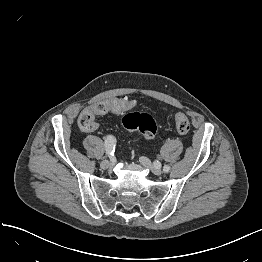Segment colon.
Wrapping results in <instances>:
<instances>
[{
    "mask_svg": "<svg viewBox=\"0 0 262 262\" xmlns=\"http://www.w3.org/2000/svg\"><path fill=\"white\" fill-rule=\"evenodd\" d=\"M134 106V101H129L122 98L98 102L80 114V128L84 131H91L95 129L98 125L95 120V116L97 114L105 112H112L116 114L126 113L122 119L123 127L130 131H139L147 140H152L157 133V127L154 119L146 113L129 112ZM175 122L176 129L179 134L185 135L188 133L190 129V123L184 113H177L175 115Z\"/></svg>",
    "mask_w": 262,
    "mask_h": 262,
    "instance_id": "1",
    "label": "colon"
}]
</instances>
